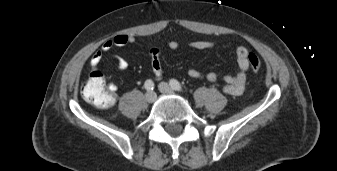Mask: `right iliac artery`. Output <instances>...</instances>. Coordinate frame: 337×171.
<instances>
[{
    "mask_svg": "<svg viewBox=\"0 0 337 171\" xmlns=\"http://www.w3.org/2000/svg\"><path fill=\"white\" fill-rule=\"evenodd\" d=\"M144 87L147 91H151L154 89V83L152 80H146L145 81V84H144Z\"/></svg>",
    "mask_w": 337,
    "mask_h": 171,
    "instance_id": "1",
    "label": "right iliac artery"
}]
</instances>
